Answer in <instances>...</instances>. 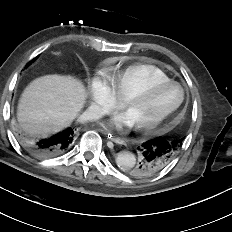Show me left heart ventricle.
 <instances>
[{
  "label": "left heart ventricle",
  "mask_w": 232,
  "mask_h": 232,
  "mask_svg": "<svg viewBox=\"0 0 232 232\" xmlns=\"http://www.w3.org/2000/svg\"><path fill=\"white\" fill-rule=\"evenodd\" d=\"M181 92L176 86H168L141 102H134L126 109L134 126L151 122L171 109L180 99Z\"/></svg>",
  "instance_id": "b2bd125f"
}]
</instances>
